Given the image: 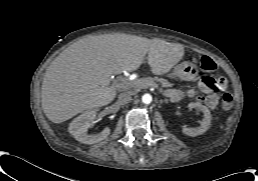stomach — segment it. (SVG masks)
Masks as SVG:
<instances>
[{"instance_id": "1", "label": "stomach", "mask_w": 258, "mask_h": 181, "mask_svg": "<svg viewBox=\"0 0 258 181\" xmlns=\"http://www.w3.org/2000/svg\"><path fill=\"white\" fill-rule=\"evenodd\" d=\"M174 74L181 79H192L197 75V69L192 63L182 62L175 67Z\"/></svg>"}]
</instances>
